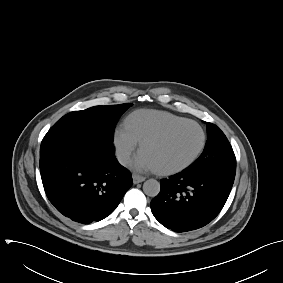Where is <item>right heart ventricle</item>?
<instances>
[{
    "instance_id": "e07e8e85",
    "label": "right heart ventricle",
    "mask_w": 283,
    "mask_h": 283,
    "mask_svg": "<svg viewBox=\"0 0 283 283\" xmlns=\"http://www.w3.org/2000/svg\"><path fill=\"white\" fill-rule=\"evenodd\" d=\"M185 118L172 113L152 109H140L130 113L124 120V126L137 143L154 135L171 124Z\"/></svg>"
}]
</instances>
